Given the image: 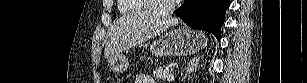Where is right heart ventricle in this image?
Listing matches in <instances>:
<instances>
[{"instance_id": "1", "label": "right heart ventricle", "mask_w": 307, "mask_h": 83, "mask_svg": "<svg viewBox=\"0 0 307 83\" xmlns=\"http://www.w3.org/2000/svg\"><path fill=\"white\" fill-rule=\"evenodd\" d=\"M118 10L122 14H135L147 11L149 8L142 0H119Z\"/></svg>"}]
</instances>
